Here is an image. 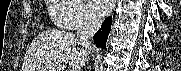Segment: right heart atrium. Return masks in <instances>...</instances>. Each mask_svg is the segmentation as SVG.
<instances>
[{
    "instance_id": "obj_1",
    "label": "right heart atrium",
    "mask_w": 181,
    "mask_h": 71,
    "mask_svg": "<svg viewBox=\"0 0 181 71\" xmlns=\"http://www.w3.org/2000/svg\"><path fill=\"white\" fill-rule=\"evenodd\" d=\"M64 9L60 17L61 25L66 29L89 27L98 22V18L83 0H54Z\"/></svg>"
}]
</instances>
